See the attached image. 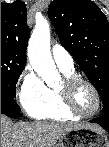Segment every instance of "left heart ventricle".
<instances>
[{
    "mask_svg": "<svg viewBox=\"0 0 109 147\" xmlns=\"http://www.w3.org/2000/svg\"><path fill=\"white\" fill-rule=\"evenodd\" d=\"M75 102L82 113L88 114L95 108L96 98L88 86L81 84L75 91Z\"/></svg>",
    "mask_w": 109,
    "mask_h": 147,
    "instance_id": "1",
    "label": "left heart ventricle"
}]
</instances>
